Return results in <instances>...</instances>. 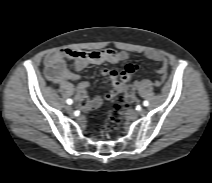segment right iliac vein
Instances as JSON below:
<instances>
[{"label": "right iliac vein", "mask_w": 212, "mask_h": 183, "mask_svg": "<svg viewBox=\"0 0 212 183\" xmlns=\"http://www.w3.org/2000/svg\"><path fill=\"white\" fill-rule=\"evenodd\" d=\"M66 110H67L69 113L72 112V108H71L70 106H68V107L66 108Z\"/></svg>", "instance_id": "1"}]
</instances>
